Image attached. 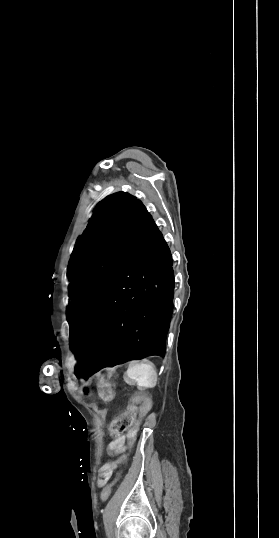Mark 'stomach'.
<instances>
[{
  "instance_id": "1",
  "label": "stomach",
  "mask_w": 279,
  "mask_h": 538,
  "mask_svg": "<svg viewBox=\"0 0 279 538\" xmlns=\"http://www.w3.org/2000/svg\"><path fill=\"white\" fill-rule=\"evenodd\" d=\"M99 394L102 401H104L107 405L113 404L117 396L115 390H112V386H101L99 389Z\"/></svg>"
}]
</instances>
